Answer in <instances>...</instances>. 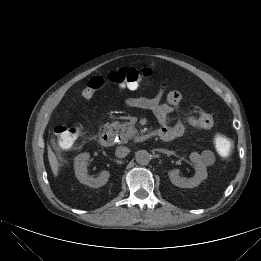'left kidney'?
<instances>
[{"mask_svg": "<svg viewBox=\"0 0 261 261\" xmlns=\"http://www.w3.org/2000/svg\"><path fill=\"white\" fill-rule=\"evenodd\" d=\"M190 160L196 165V174L192 178L187 179L180 177L179 169H173L168 172L169 179L175 186L180 188H194L199 186L200 183L207 178V169L201 156L197 152H192L190 154Z\"/></svg>", "mask_w": 261, "mask_h": 261, "instance_id": "5707ae66", "label": "left kidney"}]
</instances>
